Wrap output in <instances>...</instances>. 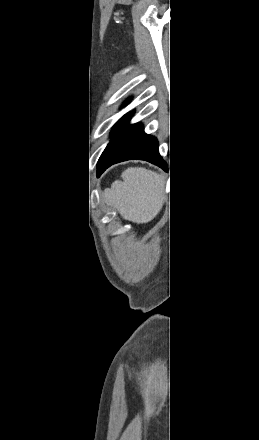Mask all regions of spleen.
<instances>
[{"instance_id":"spleen-1","label":"spleen","mask_w":259,"mask_h":440,"mask_svg":"<svg viewBox=\"0 0 259 440\" xmlns=\"http://www.w3.org/2000/svg\"><path fill=\"white\" fill-rule=\"evenodd\" d=\"M103 192L105 202L117 209L126 220L136 223L151 221L161 210L165 199L166 177L142 167H130Z\"/></svg>"}]
</instances>
